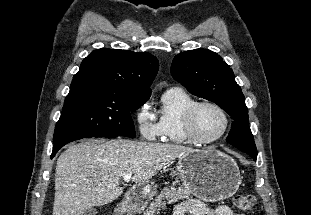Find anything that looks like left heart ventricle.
Returning <instances> with one entry per match:
<instances>
[{
  "mask_svg": "<svg viewBox=\"0 0 311 215\" xmlns=\"http://www.w3.org/2000/svg\"><path fill=\"white\" fill-rule=\"evenodd\" d=\"M223 125L222 115L213 107H202L196 115L195 126L201 137L211 138L217 135L222 130Z\"/></svg>",
  "mask_w": 311,
  "mask_h": 215,
  "instance_id": "left-heart-ventricle-1",
  "label": "left heart ventricle"
}]
</instances>
